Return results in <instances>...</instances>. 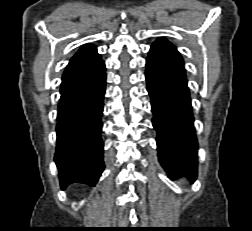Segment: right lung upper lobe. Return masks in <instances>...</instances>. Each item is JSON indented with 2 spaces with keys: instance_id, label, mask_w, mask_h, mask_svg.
<instances>
[{
  "instance_id": "right-lung-upper-lobe-1",
  "label": "right lung upper lobe",
  "mask_w": 252,
  "mask_h": 231,
  "mask_svg": "<svg viewBox=\"0 0 252 231\" xmlns=\"http://www.w3.org/2000/svg\"><path fill=\"white\" fill-rule=\"evenodd\" d=\"M105 71V64L97 53L96 46L83 45L68 63L63 76L60 92L80 86Z\"/></svg>"
}]
</instances>
